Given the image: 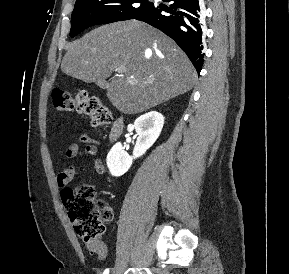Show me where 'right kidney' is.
<instances>
[{"mask_svg": "<svg viewBox=\"0 0 289 274\" xmlns=\"http://www.w3.org/2000/svg\"><path fill=\"white\" fill-rule=\"evenodd\" d=\"M164 125V116L156 111L145 113L134 122L138 135L133 155L124 151L120 142L107 155V167L112 176H122L131 167L133 159L141 157L155 143Z\"/></svg>", "mask_w": 289, "mask_h": 274, "instance_id": "right-kidney-1", "label": "right kidney"}]
</instances>
